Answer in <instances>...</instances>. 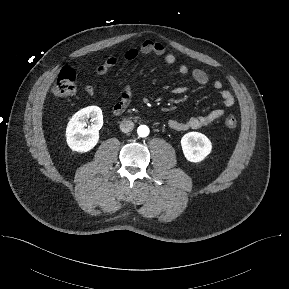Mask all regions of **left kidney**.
Here are the masks:
<instances>
[{"label": "left kidney", "instance_id": "left-kidney-1", "mask_svg": "<svg viewBox=\"0 0 289 289\" xmlns=\"http://www.w3.org/2000/svg\"><path fill=\"white\" fill-rule=\"evenodd\" d=\"M181 146L186 159L201 162L212 150L211 141L202 133L189 132L181 139Z\"/></svg>", "mask_w": 289, "mask_h": 289}]
</instances>
